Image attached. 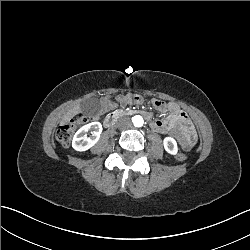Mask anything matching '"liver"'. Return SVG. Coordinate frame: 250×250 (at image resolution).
I'll return each instance as SVG.
<instances>
[{
    "mask_svg": "<svg viewBox=\"0 0 250 250\" xmlns=\"http://www.w3.org/2000/svg\"><path fill=\"white\" fill-rule=\"evenodd\" d=\"M79 113V105L75 106L73 109L69 110L63 117L62 124H65L67 121H69L71 118H73L75 115Z\"/></svg>",
    "mask_w": 250,
    "mask_h": 250,
    "instance_id": "obj_1",
    "label": "liver"
}]
</instances>
